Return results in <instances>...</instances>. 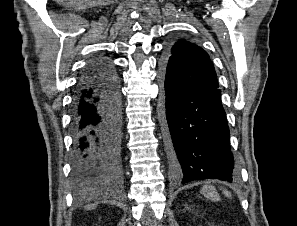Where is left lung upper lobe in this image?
I'll return each instance as SVG.
<instances>
[{
	"mask_svg": "<svg viewBox=\"0 0 297 226\" xmlns=\"http://www.w3.org/2000/svg\"><path fill=\"white\" fill-rule=\"evenodd\" d=\"M163 64L194 90L218 86L215 69L208 54L188 41H177L163 59Z\"/></svg>",
	"mask_w": 297,
	"mask_h": 226,
	"instance_id": "5c2ea615",
	"label": "left lung upper lobe"
}]
</instances>
